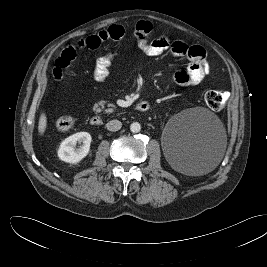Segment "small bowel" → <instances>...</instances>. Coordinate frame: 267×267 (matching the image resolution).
I'll list each match as a JSON object with an SVG mask.
<instances>
[{
  "instance_id": "1",
  "label": "small bowel",
  "mask_w": 267,
  "mask_h": 267,
  "mask_svg": "<svg viewBox=\"0 0 267 267\" xmlns=\"http://www.w3.org/2000/svg\"><path fill=\"white\" fill-rule=\"evenodd\" d=\"M153 25L150 21L142 20L136 24L135 38L138 47L149 56H158L169 52L175 57H184L188 60L186 69L179 70L174 75V81L179 86H194L200 84L209 72L205 50L198 45H188L182 41H170L167 37H160L152 41L148 35L152 32ZM126 29L122 25H111L96 34L89 35L75 44L66 46L56 58L53 75L61 79L63 70L76 57L77 51L82 49H97L103 42L117 41L124 38ZM115 53L107 52L98 58L94 68V78L103 81L109 74V68Z\"/></svg>"
}]
</instances>
